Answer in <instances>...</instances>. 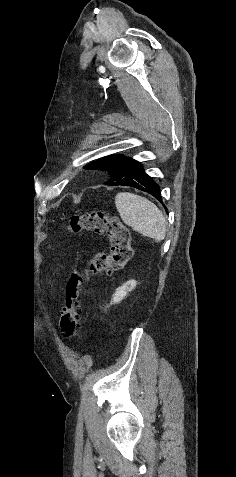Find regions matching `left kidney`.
<instances>
[{
    "label": "left kidney",
    "mask_w": 236,
    "mask_h": 477,
    "mask_svg": "<svg viewBox=\"0 0 236 477\" xmlns=\"http://www.w3.org/2000/svg\"><path fill=\"white\" fill-rule=\"evenodd\" d=\"M136 285L137 282L135 280H129L121 287L116 289L115 293L113 294V298L110 302V305L120 303L127 296L128 292L132 291L136 287Z\"/></svg>",
    "instance_id": "left-kidney-1"
}]
</instances>
